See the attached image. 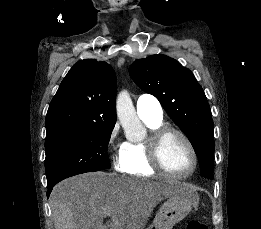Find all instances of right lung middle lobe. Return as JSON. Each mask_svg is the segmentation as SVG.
I'll list each match as a JSON object with an SVG mask.
<instances>
[{
	"label": "right lung middle lobe",
	"instance_id": "obj_1",
	"mask_svg": "<svg viewBox=\"0 0 261 229\" xmlns=\"http://www.w3.org/2000/svg\"><path fill=\"white\" fill-rule=\"evenodd\" d=\"M113 128L114 125H96L45 147L47 187L70 176L110 168L107 147Z\"/></svg>",
	"mask_w": 261,
	"mask_h": 229
}]
</instances>
